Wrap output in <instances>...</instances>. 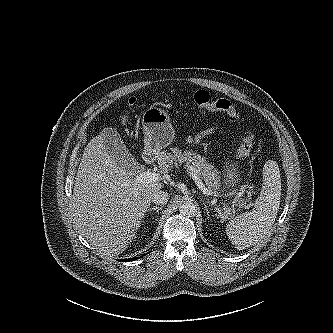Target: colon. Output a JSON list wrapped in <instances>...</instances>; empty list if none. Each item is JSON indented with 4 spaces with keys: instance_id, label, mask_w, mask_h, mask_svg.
I'll return each instance as SVG.
<instances>
[{
    "instance_id": "colon-1",
    "label": "colon",
    "mask_w": 333,
    "mask_h": 333,
    "mask_svg": "<svg viewBox=\"0 0 333 333\" xmlns=\"http://www.w3.org/2000/svg\"><path fill=\"white\" fill-rule=\"evenodd\" d=\"M193 100L200 108L223 112L236 119L240 118L239 113L228 99L214 98L205 90L196 91L193 95ZM253 143V134L248 131L245 132L239 146V157L242 160H246L252 155Z\"/></svg>"
}]
</instances>
